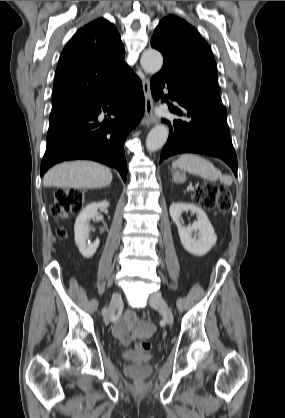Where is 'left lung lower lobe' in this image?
I'll return each mask as SVG.
<instances>
[{"mask_svg": "<svg viewBox=\"0 0 285 418\" xmlns=\"http://www.w3.org/2000/svg\"><path fill=\"white\" fill-rule=\"evenodd\" d=\"M163 88L169 90L167 95L163 94ZM151 92L155 100L172 99L182 107L170 109L182 119L162 120L169 125L170 134L160 161L181 153L207 154L225 161L237 175V157L221 100L190 88L166 70L152 77Z\"/></svg>", "mask_w": 285, "mask_h": 418, "instance_id": "obj_1", "label": "left lung lower lobe"}]
</instances>
